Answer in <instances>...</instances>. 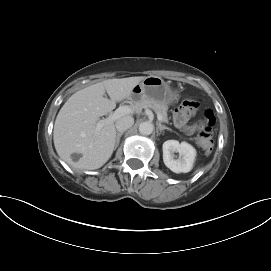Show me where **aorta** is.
Here are the masks:
<instances>
[{"mask_svg": "<svg viewBox=\"0 0 271 271\" xmlns=\"http://www.w3.org/2000/svg\"><path fill=\"white\" fill-rule=\"evenodd\" d=\"M153 130H154V125L149 121L142 122L139 125V132L143 135H150L153 132Z\"/></svg>", "mask_w": 271, "mask_h": 271, "instance_id": "762f6f07", "label": "aorta"}]
</instances>
